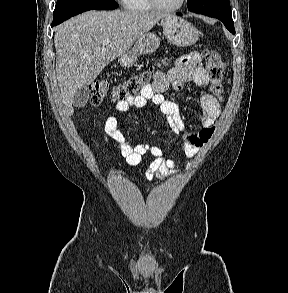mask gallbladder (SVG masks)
<instances>
[{"mask_svg": "<svg viewBox=\"0 0 288 293\" xmlns=\"http://www.w3.org/2000/svg\"><path fill=\"white\" fill-rule=\"evenodd\" d=\"M88 98V88L87 86H83L75 92L73 97V105L77 108H82L86 105Z\"/></svg>", "mask_w": 288, "mask_h": 293, "instance_id": "bac80fb5", "label": "gallbladder"}]
</instances>
